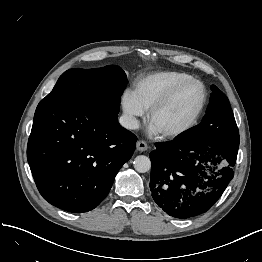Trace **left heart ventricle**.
I'll use <instances>...</instances> for the list:
<instances>
[{"label":"left heart ventricle","mask_w":262,"mask_h":262,"mask_svg":"<svg viewBox=\"0 0 262 262\" xmlns=\"http://www.w3.org/2000/svg\"><path fill=\"white\" fill-rule=\"evenodd\" d=\"M202 99V88L189 84L171 102L155 114L151 124L160 132L172 131L185 125L194 115Z\"/></svg>","instance_id":"left-heart-ventricle-1"}]
</instances>
